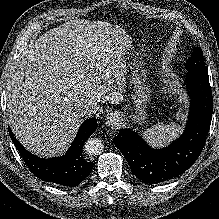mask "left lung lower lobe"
Listing matches in <instances>:
<instances>
[{"instance_id":"obj_1","label":"left lung lower lobe","mask_w":219,"mask_h":219,"mask_svg":"<svg viewBox=\"0 0 219 219\" xmlns=\"http://www.w3.org/2000/svg\"><path fill=\"white\" fill-rule=\"evenodd\" d=\"M186 81L191 108L186 129L178 140L155 150L130 129H121L114 137L132 173L145 183H160L182 174L193 165L204 147L213 113L209 76L188 72Z\"/></svg>"}]
</instances>
